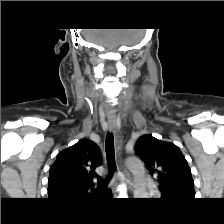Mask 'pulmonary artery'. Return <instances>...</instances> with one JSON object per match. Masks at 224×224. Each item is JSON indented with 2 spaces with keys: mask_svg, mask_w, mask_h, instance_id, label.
Returning a JSON list of instances; mask_svg holds the SVG:
<instances>
[{
  "mask_svg": "<svg viewBox=\"0 0 224 224\" xmlns=\"http://www.w3.org/2000/svg\"><path fill=\"white\" fill-rule=\"evenodd\" d=\"M147 185L149 186V187H152L153 185H152V183L151 182H147Z\"/></svg>",
  "mask_w": 224,
  "mask_h": 224,
  "instance_id": "pulmonary-artery-1",
  "label": "pulmonary artery"
}]
</instances>
